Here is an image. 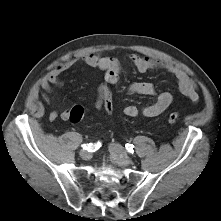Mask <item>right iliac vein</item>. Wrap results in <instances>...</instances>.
I'll use <instances>...</instances> for the list:
<instances>
[{
  "instance_id": "right-iliac-vein-1",
  "label": "right iliac vein",
  "mask_w": 221,
  "mask_h": 221,
  "mask_svg": "<svg viewBox=\"0 0 221 221\" xmlns=\"http://www.w3.org/2000/svg\"><path fill=\"white\" fill-rule=\"evenodd\" d=\"M80 156L83 160H89L91 158V153L88 150L83 149L80 151Z\"/></svg>"
}]
</instances>
